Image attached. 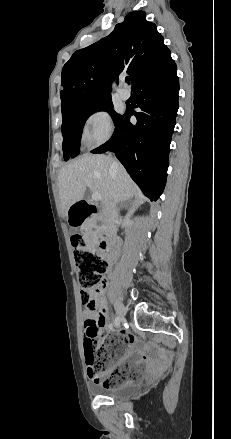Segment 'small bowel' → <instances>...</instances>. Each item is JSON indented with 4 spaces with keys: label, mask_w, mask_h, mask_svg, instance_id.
Returning a JSON list of instances; mask_svg holds the SVG:
<instances>
[{
    "label": "small bowel",
    "mask_w": 231,
    "mask_h": 439,
    "mask_svg": "<svg viewBox=\"0 0 231 439\" xmlns=\"http://www.w3.org/2000/svg\"><path fill=\"white\" fill-rule=\"evenodd\" d=\"M92 300L95 303V306H87L83 313L85 320L84 344L90 345L100 342L98 337V329L107 324V311L101 289L92 294ZM123 338L127 343L125 347L126 352L121 360L111 370V372H114L119 368H124L126 370V366L131 362L129 360L133 355H139L140 358L147 361V368L149 372H154L158 366L164 362L163 358L155 361L148 353L139 351L136 347V340L132 335L127 333L123 336Z\"/></svg>",
    "instance_id": "1"
}]
</instances>
